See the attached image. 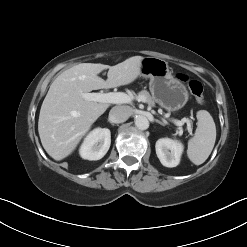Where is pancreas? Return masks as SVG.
Segmentation results:
<instances>
[{
  "label": "pancreas",
  "mask_w": 247,
  "mask_h": 247,
  "mask_svg": "<svg viewBox=\"0 0 247 247\" xmlns=\"http://www.w3.org/2000/svg\"><path fill=\"white\" fill-rule=\"evenodd\" d=\"M132 97L136 98L137 100H140L144 103H147L149 106H154L155 102L149 92L147 90H142L136 95L135 93H132Z\"/></svg>",
  "instance_id": "obj_1"
}]
</instances>
